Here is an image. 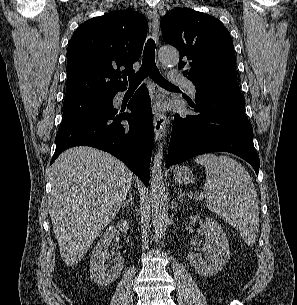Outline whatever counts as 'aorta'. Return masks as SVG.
<instances>
[{"label":"aorta","instance_id":"obj_1","mask_svg":"<svg viewBox=\"0 0 297 305\" xmlns=\"http://www.w3.org/2000/svg\"><path fill=\"white\" fill-rule=\"evenodd\" d=\"M160 62L169 67L176 66L179 62V52L173 47H163L159 50ZM167 136V129L164 127L160 134V140ZM163 142L158 144V152L155 153L151 166L150 179V206L152 222L156 241H159L166 231L168 222V202L162 174Z\"/></svg>","mask_w":297,"mask_h":305}]
</instances>
